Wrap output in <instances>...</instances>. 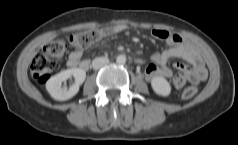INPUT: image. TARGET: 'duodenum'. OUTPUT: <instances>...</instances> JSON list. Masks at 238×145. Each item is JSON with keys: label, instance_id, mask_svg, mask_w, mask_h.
Segmentation results:
<instances>
[{"label": "duodenum", "instance_id": "duodenum-1", "mask_svg": "<svg viewBox=\"0 0 238 145\" xmlns=\"http://www.w3.org/2000/svg\"><path fill=\"white\" fill-rule=\"evenodd\" d=\"M135 62H136V63H139V59H135Z\"/></svg>", "mask_w": 238, "mask_h": 145}]
</instances>
